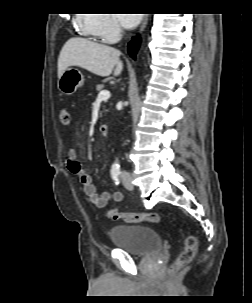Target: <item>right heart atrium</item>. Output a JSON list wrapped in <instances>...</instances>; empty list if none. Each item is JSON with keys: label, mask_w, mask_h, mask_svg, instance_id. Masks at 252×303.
Here are the masks:
<instances>
[{"label": "right heart atrium", "mask_w": 252, "mask_h": 303, "mask_svg": "<svg viewBox=\"0 0 252 303\" xmlns=\"http://www.w3.org/2000/svg\"><path fill=\"white\" fill-rule=\"evenodd\" d=\"M87 24L105 43H115L122 33L112 14H92L89 16Z\"/></svg>", "instance_id": "1"}]
</instances>
